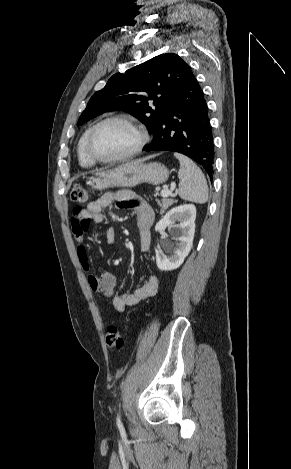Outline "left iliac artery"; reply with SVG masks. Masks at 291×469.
Wrapping results in <instances>:
<instances>
[{
	"label": "left iliac artery",
	"mask_w": 291,
	"mask_h": 469,
	"mask_svg": "<svg viewBox=\"0 0 291 469\" xmlns=\"http://www.w3.org/2000/svg\"><path fill=\"white\" fill-rule=\"evenodd\" d=\"M116 422H117V426H118L119 428L122 427V423H121V420H120V416H119V415L117 416V421H116Z\"/></svg>",
	"instance_id": "obj_1"
}]
</instances>
